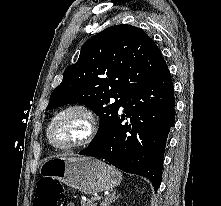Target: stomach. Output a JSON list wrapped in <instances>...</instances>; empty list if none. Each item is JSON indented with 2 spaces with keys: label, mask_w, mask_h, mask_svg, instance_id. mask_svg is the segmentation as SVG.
<instances>
[{
  "label": "stomach",
  "mask_w": 221,
  "mask_h": 206,
  "mask_svg": "<svg viewBox=\"0 0 221 206\" xmlns=\"http://www.w3.org/2000/svg\"><path fill=\"white\" fill-rule=\"evenodd\" d=\"M40 173L87 194L111 190L122 180L118 170L91 157L49 158Z\"/></svg>",
  "instance_id": "1"
}]
</instances>
